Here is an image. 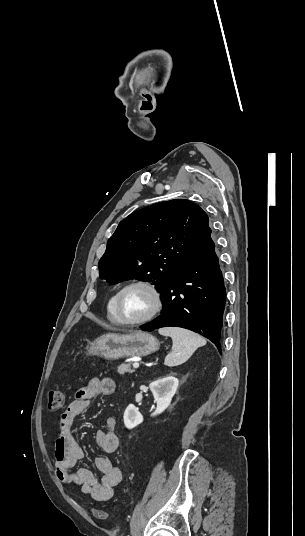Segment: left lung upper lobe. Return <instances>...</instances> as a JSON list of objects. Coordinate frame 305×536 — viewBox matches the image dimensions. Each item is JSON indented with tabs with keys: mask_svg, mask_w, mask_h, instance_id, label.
Listing matches in <instances>:
<instances>
[{
	"mask_svg": "<svg viewBox=\"0 0 305 536\" xmlns=\"http://www.w3.org/2000/svg\"><path fill=\"white\" fill-rule=\"evenodd\" d=\"M208 222L202 208L185 199L131 213L108 240L99 277L152 281L161 291L211 239Z\"/></svg>",
	"mask_w": 305,
	"mask_h": 536,
	"instance_id": "left-lung-upper-lobe-1",
	"label": "left lung upper lobe"
}]
</instances>
